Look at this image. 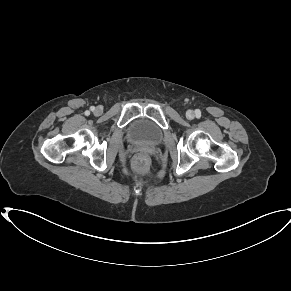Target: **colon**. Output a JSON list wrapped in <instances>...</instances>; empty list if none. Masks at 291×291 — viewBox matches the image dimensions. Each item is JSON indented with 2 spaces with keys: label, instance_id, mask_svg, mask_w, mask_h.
<instances>
[{
  "label": "colon",
  "instance_id": "colon-1",
  "mask_svg": "<svg viewBox=\"0 0 291 291\" xmlns=\"http://www.w3.org/2000/svg\"><path fill=\"white\" fill-rule=\"evenodd\" d=\"M135 167L140 172H147L149 170L148 159L145 155L139 154L135 158Z\"/></svg>",
  "mask_w": 291,
  "mask_h": 291
}]
</instances>
